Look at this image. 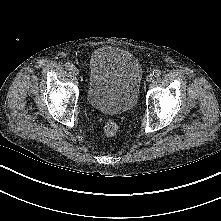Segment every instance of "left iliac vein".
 <instances>
[{"label": "left iliac vein", "mask_w": 221, "mask_h": 221, "mask_svg": "<svg viewBox=\"0 0 221 221\" xmlns=\"http://www.w3.org/2000/svg\"><path fill=\"white\" fill-rule=\"evenodd\" d=\"M154 80V76L152 74L147 75L146 81L147 82H152Z\"/></svg>", "instance_id": "1"}]
</instances>
